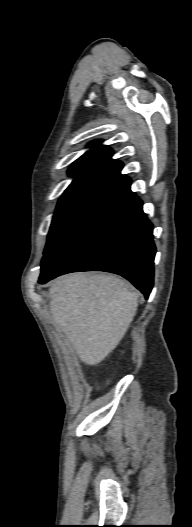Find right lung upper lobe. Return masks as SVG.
<instances>
[{
    "label": "right lung upper lobe",
    "instance_id": "cb5924a9",
    "mask_svg": "<svg viewBox=\"0 0 192 527\" xmlns=\"http://www.w3.org/2000/svg\"><path fill=\"white\" fill-rule=\"evenodd\" d=\"M92 147L69 168L68 174L74 178L72 184L100 181L107 183L120 174L123 164L113 160V152L101 145V141H93L88 144Z\"/></svg>",
    "mask_w": 192,
    "mask_h": 527
}]
</instances>
